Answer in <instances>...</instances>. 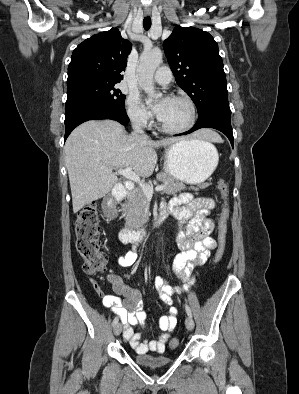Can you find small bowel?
<instances>
[{"mask_svg":"<svg viewBox=\"0 0 299 394\" xmlns=\"http://www.w3.org/2000/svg\"><path fill=\"white\" fill-rule=\"evenodd\" d=\"M212 198H194L190 193H182L173 198L168 205L162 206L172 214L179 223L177 243L181 252L173 260V270L177 276L186 283L184 291L193 284L192 272L206 262L212 250L217 246L212 237L215 223L210 218L215 208ZM138 256L134 251H128L118 258L122 267H130L136 263ZM110 280L113 291L124 298L107 295L103 299L106 307L116 313L124 324V337L138 354H147L149 351L162 353L166 343L170 340L177 324V308L173 295L180 290L172 286L162 277H156L155 289L161 301L168 307V313L159 319L162 333L157 340H144L140 333L133 330V326L144 324L146 313L141 309L142 294L137 288L126 285L119 276L111 275Z\"/></svg>","mask_w":299,"mask_h":394,"instance_id":"1","label":"small bowel"}]
</instances>
